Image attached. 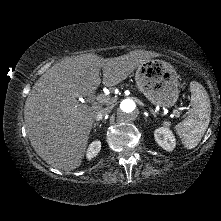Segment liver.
<instances>
[{
	"instance_id": "liver-1",
	"label": "liver",
	"mask_w": 221,
	"mask_h": 221,
	"mask_svg": "<svg viewBox=\"0 0 221 221\" xmlns=\"http://www.w3.org/2000/svg\"><path fill=\"white\" fill-rule=\"evenodd\" d=\"M157 56L155 52L137 50L104 59L89 53L54 64L34 84L24 106L26 130L35 152L55 168H78L101 106L79 104L76 98L97 90L101 69L103 85L111 87Z\"/></svg>"
}]
</instances>
